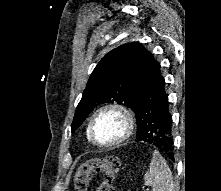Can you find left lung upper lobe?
<instances>
[{
  "instance_id": "left-lung-upper-lobe-1",
  "label": "left lung upper lobe",
  "mask_w": 221,
  "mask_h": 191,
  "mask_svg": "<svg viewBox=\"0 0 221 191\" xmlns=\"http://www.w3.org/2000/svg\"><path fill=\"white\" fill-rule=\"evenodd\" d=\"M146 49L138 42L121 45L107 53L93 70L76 108L72 131L102 103L117 102L134 110L133 88Z\"/></svg>"
}]
</instances>
